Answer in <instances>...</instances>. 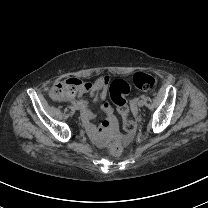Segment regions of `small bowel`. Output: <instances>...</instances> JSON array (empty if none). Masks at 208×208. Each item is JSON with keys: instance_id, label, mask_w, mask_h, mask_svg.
Returning a JSON list of instances; mask_svg holds the SVG:
<instances>
[{"instance_id": "c3829d8e", "label": "small bowel", "mask_w": 208, "mask_h": 208, "mask_svg": "<svg viewBox=\"0 0 208 208\" xmlns=\"http://www.w3.org/2000/svg\"><path fill=\"white\" fill-rule=\"evenodd\" d=\"M81 81L78 78H75L71 80V82L64 84L63 90L58 89L55 92L56 97H58L61 100L67 99L71 100L72 102L79 106L82 109V112L84 116L86 117L84 120L85 125H87L86 135L87 137L91 138L94 145L100 146L103 142H105L107 135L109 133L113 132L114 127L116 126V118L113 115L112 108L108 101L105 98L106 95V88L107 84L102 80L99 79L96 82H94L93 86L90 89H83L79 90L80 94L75 95L71 90H76L80 86ZM92 90V92L89 94L92 98L93 103L98 104L101 102V107L103 110V113L105 115V120L103 123L99 126V133L97 129L96 123L93 122V103L90 102L89 98L87 96H83L82 94L87 93V91ZM93 93H96L98 95L93 96Z\"/></svg>"}]
</instances>
